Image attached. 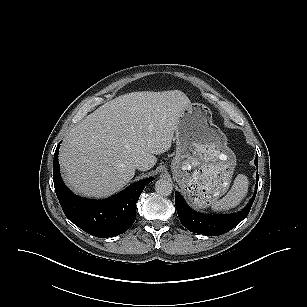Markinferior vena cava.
<instances>
[{
	"label": "inferior vena cava",
	"mask_w": 307,
	"mask_h": 307,
	"mask_svg": "<svg viewBox=\"0 0 307 307\" xmlns=\"http://www.w3.org/2000/svg\"><path fill=\"white\" fill-rule=\"evenodd\" d=\"M134 168L138 169V170H143L145 168V165L142 161H135L133 163Z\"/></svg>",
	"instance_id": "obj_1"
}]
</instances>
